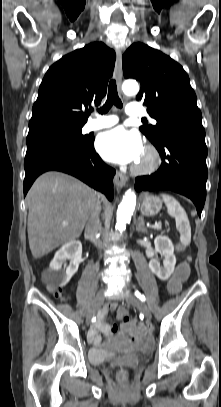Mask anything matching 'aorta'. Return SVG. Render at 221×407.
<instances>
[{
	"label": "aorta",
	"mask_w": 221,
	"mask_h": 407,
	"mask_svg": "<svg viewBox=\"0 0 221 407\" xmlns=\"http://www.w3.org/2000/svg\"><path fill=\"white\" fill-rule=\"evenodd\" d=\"M124 93L128 95H135L139 91V85L136 81H125L122 85ZM136 206V195L134 191L127 190L123 196L121 203L118 206L116 217V229L123 231L126 228L127 222L131 220L134 209Z\"/></svg>",
	"instance_id": "762f6f07"
}]
</instances>
